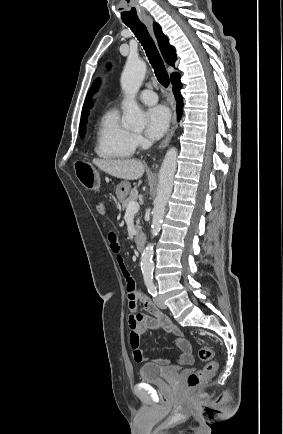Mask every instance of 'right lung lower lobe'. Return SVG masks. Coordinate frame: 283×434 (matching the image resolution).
I'll list each match as a JSON object with an SVG mask.
<instances>
[{"label":"right lung lower lobe","mask_w":283,"mask_h":434,"mask_svg":"<svg viewBox=\"0 0 283 434\" xmlns=\"http://www.w3.org/2000/svg\"><path fill=\"white\" fill-rule=\"evenodd\" d=\"M171 83L173 84L172 90L177 103V116L178 119H180L182 116L183 103L180 95L181 82H180L179 73H176L175 75L171 76Z\"/></svg>","instance_id":"obj_1"}]
</instances>
